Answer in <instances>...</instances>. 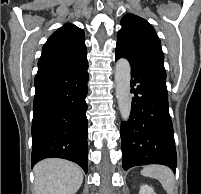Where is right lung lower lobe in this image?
Listing matches in <instances>:
<instances>
[{
  "mask_svg": "<svg viewBox=\"0 0 201 194\" xmlns=\"http://www.w3.org/2000/svg\"><path fill=\"white\" fill-rule=\"evenodd\" d=\"M88 64L64 72L35 76L32 122V165L57 157L73 161L87 173Z\"/></svg>",
  "mask_w": 201,
  "mask_h": 194,
  "instance_id": "obj_1",
  "label": "right lung lower lobe"
}]
</instances>
